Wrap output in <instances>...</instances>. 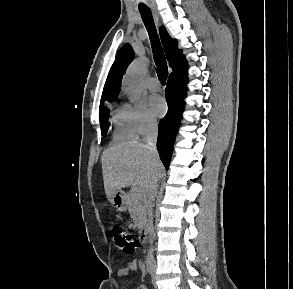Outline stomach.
Masks as SVG:
<instances>
[{
    "instance_id": "stomach-1",
    "label": "stomach",
    "mask_w": 293,
    "mask_h": 289,
    "mask_svg": "<svg viewBox=\"0 0 293 289\" xmlns=\"http://www.w3.org/2000/svg\"><path fill=\"white\" fill-rule=\"evenodd\" d=\"M111 203L116 208V210L123 212L126 210L127 204V195L123 190H118L112 197Z\"/></svg>"
}]
</instances>
